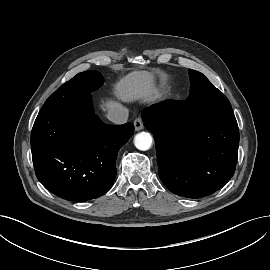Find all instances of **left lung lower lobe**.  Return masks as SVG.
<instances>
[{"mask_svg": "<svg viewBox=\"0 0 270 270\" xmlns=\"http://www.w3.org/2000/svg\"><path fill=\"white\" fill-rule=\"evenodd\" d=\"M196 93L145 110L143 123L155 139L159 177L173 193L200 198L233 176L239 128L233 110L203 111Z\"/></svg>", "mask_w": 270, "mask_h": 270, "instance_id": "1", "label": "left lung lower lobe"}]
</instances>
